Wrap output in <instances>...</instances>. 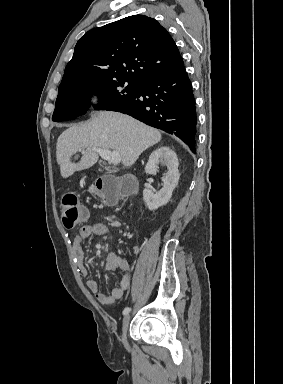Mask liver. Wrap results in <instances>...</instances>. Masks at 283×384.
Instances as JSON below:
<instances>
[{"label":"liver","mask_w":283,"mask_h":384,"mask_svg":"<svg viewBox=\"0 0 283 384\" xmlns=\"http://www.w3.org/2000/svg\"><path fill=\"white\" fill-rule=\"evenodd\" d=\"M159 130L118 112H96L91 122L84 126H72L60 134L56 146V158L62 178H69L74 172L87 170L98 162V154L92 148H104L119 152L123 166H133L140 154L160 142ZM83 150L78 164L70 158Z\"/></svg>","instance_id":"liver-1"}]
</instances>
